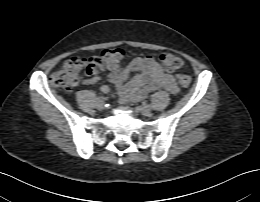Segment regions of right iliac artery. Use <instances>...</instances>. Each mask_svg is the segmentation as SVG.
<instances>
[{"instance_id": "1", "label": "right iliac artery", "mask_w": 260, "mask_h": 202, "mask_svg": "<svg viewBox=\"0 0 260 202\" xmlns=\"http://www.w3.org/2000/svg\"><path fill=\"white\" fill-rule=\"evenodd\" d=\"M103 99H104V97H102V96L98 97L99 101H102Z\"/></svg>"}]
</instances>
